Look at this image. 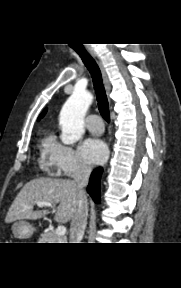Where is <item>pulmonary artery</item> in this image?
<instances>
[{
	"mask_svg": "<svg viewBox=\"0 0 181 288\" xmlns=\"http://www.w3.org/2000/svg\"><path fill=\"white\" fill-rule=\"evenodd\" d=\"M87 129L94 134L103 132V123L99 115L90 114L87 118Z\"/></svg>",
	"mask_w": 181,
	"mask_h": 288,
	"instance_id": "1",
	"label": "pulmonary artery"
}]
</instances>
